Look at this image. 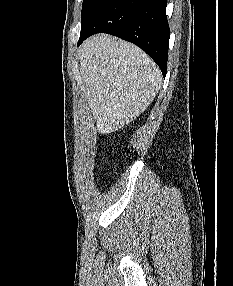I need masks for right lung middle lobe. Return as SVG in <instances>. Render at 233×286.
<instances>
[{
  "label": "right lung middle lobe",
  "instance_id": "obj_1",
  "mask_svg": "<svg viewBox=\"0 0 233 286\" xmlns=\"http://www.w3.org/2000/svg\"><path fill=\"white\" fill-rule=\"evenodd\" d=\"M98 1L99 0H83L82 13H81L82 21L88 16V14L97 4Z\"/></svg>",
  "mask_w": 233,
  "mask_h": 286
}]
</instances>
